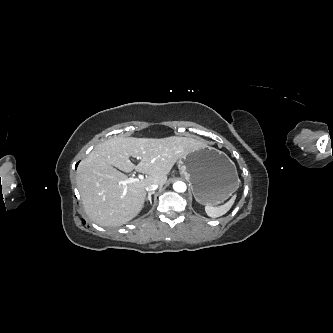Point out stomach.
<instances>
[{
	"instance_id": "1",
	"label": "stomach",
	"mask_w": 333,
	"mask_h": 333,
	"mask_svg": "<svg viewBox=\"0 0 333 333\" xmlns=\"http://www.w3.org/2000/svg\"><path fill=\"white\" fill-rule=\"evenodd\" d=\"M180 174L190 182L196 201L217 206L239 187L234 162L222 151L205 146L179 159Z\"/></svg>"
}]
</instances>
